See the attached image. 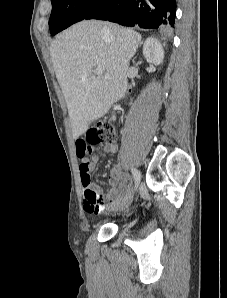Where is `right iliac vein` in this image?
Wrapping results in <instances>:
<instances>
[{
  "instance_id": "63e3f726",
  "label": "right iliac vein",
  "mask_w": 227,
  "mask_h": 298,
  "mask_svg": "<svg viewBox=\"0 0 227 298\" xmlns=\"http://www.w3.org/2000/svg\"><path fill=\"white\" fill-rule=\"evenodd\" d=\"M132 202V197L128 196L122 200L116 201L114 203H112L109 207L108 210L109 211H121L124 210L126 208H128V206L131 204Z\"/></svg>"
}]
</instances>
